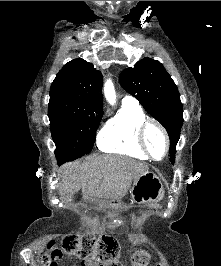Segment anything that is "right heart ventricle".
<instances>
[{
    "mask_svg": "<svg viewBox=\"0 0 221 266\" xmlns=\"http://www.w3.org/2000/svg\"><path fill=\"white\" fill-rule=\"evenodd\" d=\"M145 119L146 115L140 106L122 105L119 113L99 133V148L105 152L148 159L138 142V128Z\"/></svg>",
    "mask_w": 221,
    "mask_h": 266,
    "instance_id": "right-heart-ventricle-1",
    "label": "right heart ventricle"
}]
</instances>
